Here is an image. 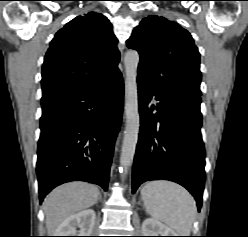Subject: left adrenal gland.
<instances>
[{
    "instance_id": "a2214340",
    "label": "left adrenal gland",
    "mask_w": 248,
    "mask_h": 237,
    "mask_svg": "<svg viewBox=\"0 0 248 237\" xmlns=\"http://www.w3.org/2000/svg\"><path fill=\"white\" fill-rule=\"evenodd\" d=\"M138 204H140V205H141V200H139Z\"/></svg>"
}]
</instances>
